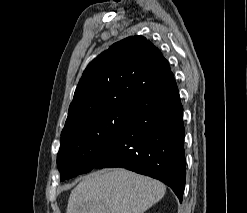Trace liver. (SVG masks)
<instances>
[{"label": "liver", "mask_w": 247, "mask_h": 213, "mask_svg": "<svg viewBox=\"0 0 247 213\" xmlns=\"http://www.w3.org/2000/svg\"><path fill=\"white\" fill-rule=\"evenodd\" d=\"M165 192L160 181L123 168L97 171L71 191L66 213H144Z\"/></svg>", "instance_id": "1"}]
</instances>
